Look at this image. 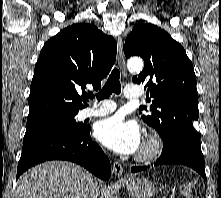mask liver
Instances as JSON below:
<instances>
[{
  "mask_svg": "<svg viewBox=\"0 0 221 198\" xmlns=\"http://www.w3.org/2000/svg\"><path fill=\"white\" fill-rule=\"evenodd\" d=\"M90 179L92 175L74 163L45 162L18 179L16 198H87Z\"/></svg>",
  "mask_w": 221,
  "mask_h": 198,
  "instance_id": "liver-1",
  "label": "liver"
}]
</instances>
